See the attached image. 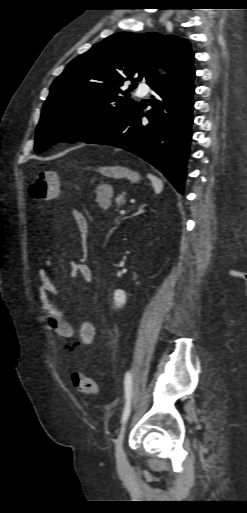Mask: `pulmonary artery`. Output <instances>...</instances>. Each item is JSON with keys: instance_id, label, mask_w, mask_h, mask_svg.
<instances>
[{"instance_id": "e3ab8cb5", "label": "pulmonary artery", "mask_w": 247, "mask_h": 513, "mask_svg": "<svg viewBox=\"0 0 247 513\" xmlns=\"http://www.w3.org/2000/svg\"><path fill=\"white\" fill-rule=\"evenodd\" d=\"M150 88L146 84H140L137 88V92L139 95L144 96L149 92Z\"/></svg>"}]
</instances>
